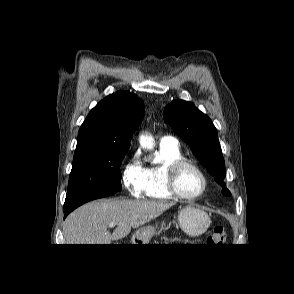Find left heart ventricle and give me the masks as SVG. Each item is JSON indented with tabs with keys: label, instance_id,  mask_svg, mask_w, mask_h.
Here are the masks:
<instances>
[{
	"label": "left heart ventricle",
	"instance_id": "b2bd125f",
	"mask_svg": "<svg viewBox=\"0 0 294 294\" xmlns=\"http://www.w3.org/2000/svg\"><path fill=\"white\" fill-rule=\"evenodd\" d=\"M177 186L182 194L193 196L200 192L202 179L195 170L185 167L178 175Z\"/></svg>",
	"mask_w": 294,
	"mask_h": 294
}]
</instances>
